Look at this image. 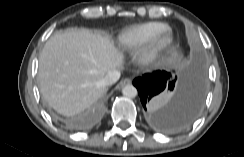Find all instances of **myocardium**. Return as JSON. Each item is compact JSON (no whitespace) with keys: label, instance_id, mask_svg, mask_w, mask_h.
<instances>
[{"label":"myocardium","instance_id":"obj_1","mask_svg":"<svg viewBox=\"0 0 244 157\" xmlns=\"http://www.w3.org/2000/svg\"><path fill=\"white\" fill-rule=\"evenodd\" d=\"M153 39H152V42H151V46L150 48L147 50V52L143 55L144 58H147L149 57L153 50L155 49H158L159 47H161V45L163 44V42H165L166 40H168V36H164V30H159L158 32H156L154 35H153Z\"/></svg>","mask_w":244,"mask_h":157}]
</instances>
